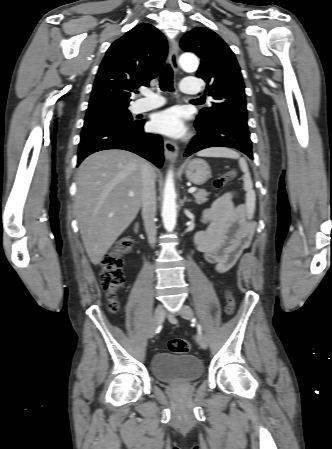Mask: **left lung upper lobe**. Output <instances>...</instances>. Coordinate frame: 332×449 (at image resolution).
Listing matches in <instances>:
<instances>
[{
  "instance_id": "obj_1",
  "label": "left lung upper lobe",
  "mask_w": 332,
  "mask_h": 449,
  "mask_svg": "<svg viewBox=\"0 0 332 449\" xmlns=\"http://www.w3.org/2000/svg\"><path fill=\"white\" fill-rule=\"evenodd\" d=\"M184 51L201 59L197 77L208 84L206 91L214 98L212 107L203 108L196 125L209 126L225 119L247 120L244 83L240 67L229 46L212 30L197 27L180 41Z\"/></svg>"
}]
</instances>
